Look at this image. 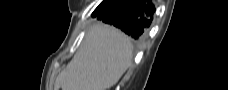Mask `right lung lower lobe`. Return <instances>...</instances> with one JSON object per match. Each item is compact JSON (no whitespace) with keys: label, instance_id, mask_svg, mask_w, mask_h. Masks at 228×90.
Instances as JSON below:
<instances>
[{"label":"right lung lower lobe","instance_id":"obj_1","mask_svg":"<svg viewBox=\"0 0 228 90\" xmlns=\"http://www.w3.org/2000/svg\"><path fill=\"white\" fill-rule=\"evenodd\" d=\"M147 1L146 4L145 0H107L96 8L92 16L121 29L135 41L140 42L155 12L153 4Z\"/></svg>","mask_w":228,"mask_h":90}]
</instances>
